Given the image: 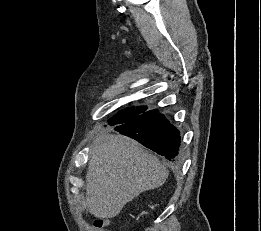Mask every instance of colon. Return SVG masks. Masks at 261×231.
Instances as JSON below:
<instances>
[{
  "label": "colon",
  "instance_id": "obj_1",
  "mask_svg": "<svg viewBox=\"0 0 261 231\" xmlns=\"http://www.w3.org/2000/svg\"><path fill=\"white\" fill-rule=\"evenodd\" d=\"M108 221L107 220H97L94 224V231H109L107 229Z\"/></svg>",
  "mask_w": 261,
  "mask_h": 231
}]
</instances>
